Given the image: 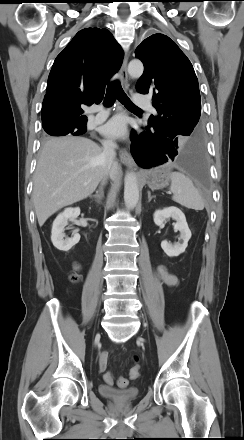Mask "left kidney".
<instances>
[{
  "label": "left kidney",
  "instance_id": "left-kidney-1",
  "mask_svg": "<svg viewBox=\"0 0 244 440\" xmlns=\"http://www.w3.org/2000/svg\"><path fill=\"white\" fill-rule=\"evenodd\" d=\"M153 218L154 223L157 226L162 225L168 218H172L176 221L174 228L180 231L179 241L172 245L164 240L161 242V248L169 257H176L183 253L188 246L189 239L191 238V231L186 222L184 213L177 207H167L155 211Z\"/></svg>",
  "mask_w": 244,
  "mask_h": 440
}]
</instances>
